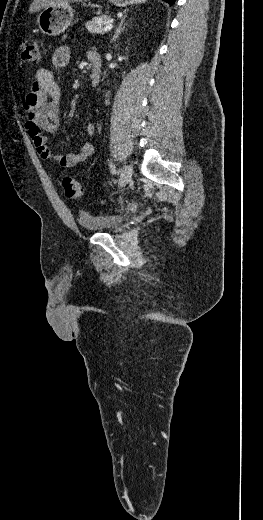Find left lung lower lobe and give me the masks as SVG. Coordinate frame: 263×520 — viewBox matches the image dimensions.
<instances>
[{
    "label": "left lung lower lobe",
    "mask_w": 263,
    "mask_h": 520,
    "mask_svg": "<svg viewBox=\"0 0 263 520\" xmlns=\"http://www.w3.org/2000/svg\"><path fill=\"white\" fill-rule=\"evenodd\" d=\"M166 2H168L169 4H173L175 2V0H164Z\"/></svg>",
    "instance_id": "obj_1"
}]
</instances>
